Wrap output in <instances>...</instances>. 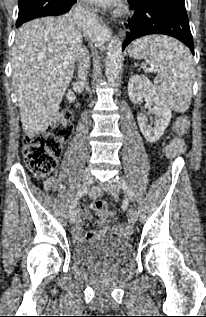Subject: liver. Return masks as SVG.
Returning <instances> with one entry per match:
<instances>
[{"instance_id": "1", "label": "liver", "mask_w": 206, "mask_h": 317, "mask_svg": "<svg viewBox=\"0 0 206 317\" xmlns=\"http://www.w3.org/2000/svg\"><path fill=\"white\" fill-rule=\"evenodd\" d=\"M82 35L69 17L24 24L12 49V80L23 131L33 137L56 117L73 73Z\"/></svg>"}]
</instances>
